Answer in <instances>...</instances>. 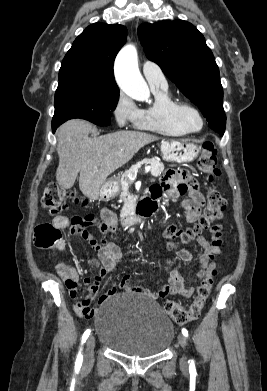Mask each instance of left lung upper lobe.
I'll use <instances>...</instances> for the list:
<instances>
[{"instance_id":"left-lung-upper-lobe-1","label":"left lung upper lobe","mask_w":267,"mask_h":391,"mask_svg":"<svg viewBox=\"0 0 267 391\" xmlns=\"http://www.w3.org/2000/svg\"><path fill=\"white\" fill-rule=\"evenodd\" d=\"M138 36L148 59L157 63L199 107L209 126L223 135L226 116L219 69L204 36L183 20L144 23Z\"/></svg>"}]
</instances>
